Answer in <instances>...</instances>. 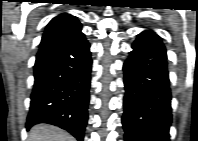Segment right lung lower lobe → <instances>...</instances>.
I'll list each match as a JSON object with an SVG mask.
<instances>
[{
	"mask_svg": "<svg viewBox=\"0 0 198 141\" xmlns=\"http://www.w3.org/2000/svg\"><path fill=\"white\" fill-rule=\"evenodd\" d=\"M90 44L82 32L39 50L26 127L49 123L83 141L88 120Z\"/></svg>",
	"mask_w": 198,
	"mask_h": 141,
	"instance_id": "1",
	"label": "right lung lower lobe"
}]
</instances>
